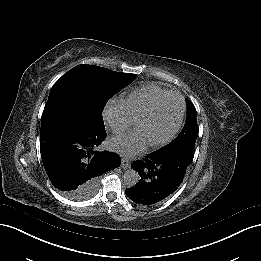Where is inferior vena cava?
I'll use <instances>...</instances> for the list:
<instances>
[{"mask_svg":"<svg viewBox=\"0 0 261 261\" xmlns=\"http://www.w3.org/2000/svg\"><path fill=\"white\" fill-rule=\"evenodd\" d=\"M109 129L114 132V133H121L122 131V126L119 123L116 122H111L109 124Z\"/></svg>","mask_w":261,"mask_h":261,"instance_id":"obj_1","label":"inferior vena cava"}]
</instances>
